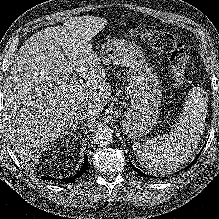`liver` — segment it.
Masks as SVG:
<instances>
[{
	"label": "liver",
	"instance_id": "liver-1",
	"mask_svg": "<svg viewBox=\"0 0 219 219\" xmlns=\"http://www.w3.org/2000/svg\"><path fill=\"white\" fill-rule=\"evenodd\" d=\"M105 25L100 17H71L33 34L15 55L4 84L3 125L28 166L72 127L78 107L91 111L93 123L110 100L111 86L90 44ZM74 71L86 82L72 84Z\"/></svg>",
	"mask_w": 219,
	"mask_h": 219
}]
</instances>
